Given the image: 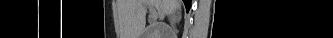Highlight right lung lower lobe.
<instances>
[{"label": "right lung lower lobe", "mask_w": 333, "mask_h": 38, "mask_svg": "<svg viewBox=\"0 0 333 38\" xmlns=\"http://www.w3.org/2000/svg\"><path fill=\"white\" fill-rule=\"evenodd\" d=\"M186 6V9L189 10L190 5H191V1L190 0H183Z\"/></svg>", "instance_id": "98d812e1"}]
</instances>
